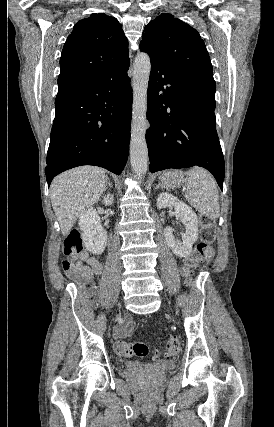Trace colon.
I'll return each mask as SVG.
<instances>
[{
	"label": "colon",
	"mask_w": 274,
	"mask_h": 427,
	"mask_svg": "<svg viewBox=\"0 0 274 427\" xmlns=\"http://www.w3.org/2000/svg\"><path fill=\"white\" fill-rule=\"evenodd\" d=\"M216 227L214 221L209 217L202 218V229L199 242L194 251L187 257L186 273L191 275L199 262L207 261V254H214ZM82 242L78 232H70L67 236L63 251L66 259L62 263L63 271L75 278L80 277L81 265L78 262V255L82 251ZM117 353L129 358H144L149 353V347L145 342L130 343L117 340L114 344ZM180 349L178 337H171L165 342L158 355L165 358L174 357Z\"/></svg>",
	"instance_id": "obj_1"
}]
</instances>
